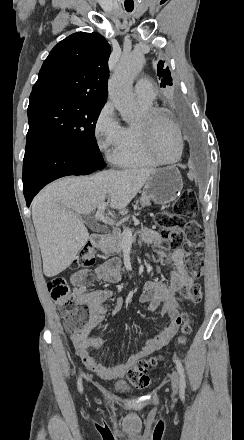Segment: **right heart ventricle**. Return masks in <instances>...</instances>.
Instances as JSON below:
<instances>
[{
    "label": "right heart ventricle",
    "instance_id": "e07e8e85",
    "mask_svg": "<svg viewBox=\"0 0 244 440\" xmlns=\"http://www.w3.org/2000/svg\"><path fill=\"white\" fill-rule=\"evenodd\" d=\"M138 105L143 114L153 107L152 102L148 104L138 102ZM142 132L144 131L138 125V122L134 124L131 123L125 128L123 138L127 141H131L132 144L128 151H124L119 147L114 150L112 160L115 164L124 168H154L158 166V162L155 160L153 154L148 153V147L142 145L144 143V141H142ZM151 146L154 149V146Z\"/></svg>",
    "mask_w": 244,
    "mask_h": 440
}]
</instances>
